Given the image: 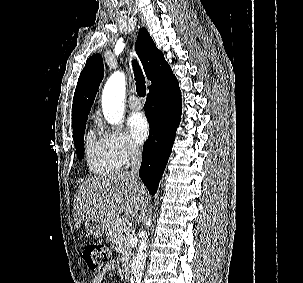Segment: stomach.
Segmentation results:
<instances>
[{
  "mask_svg": "<svg viewBox=\"0 0 303 283\" xmlns=\"http://www.w3.org/2000/svg\"><path fill=\"white\" fill-rule=\"evenodd\" d=\"M114 221L108 219L86 220L84 225L88 235L102 237L111 230Z\"/></svg>",
  "mask_w": 303,
  "mask_h": 283,
  "instance_id": "obj_1",
  "label": "stomach"
}]
</instances>
